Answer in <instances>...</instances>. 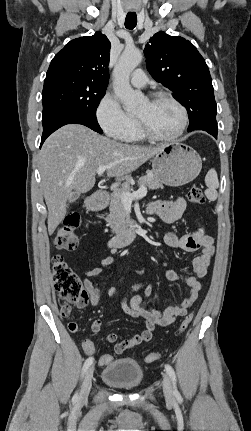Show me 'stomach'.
I'll use <instances>...</instances> for the list:
<instances>
[{"label":"stomach","mask_w":251,"mask_h":431,"mask_svg":"<svg viewBox=\"0 0 251 431\" xmlns=\"http://www.w3.org/2000/svg\"><path fill=\"white\" fill-rule=\"evenodd\" d=\"M202 161L192 148L181 144H166L154 157L152 171L163 184L172 187L185 185L193 181L200 173ZM106 206L102 197L92 198L87 202L90 210H100Z\"/></svg>","instance_id":"0dacf381"}]
</instances>
